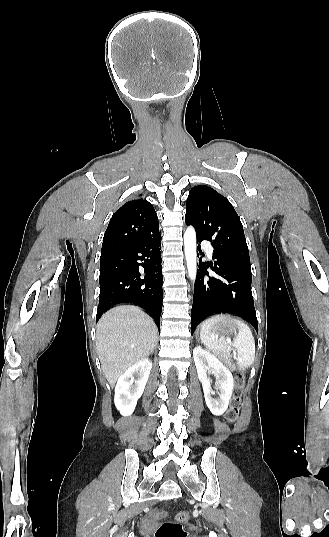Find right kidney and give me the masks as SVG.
Here are the masks:
<instances>
[{
    "mask_svg": "<svg viewBox=\"0 0 329 537\" xmlns=\"http://www.w3.org/2000/svg\"><path fill=\"white\" fill-rule=\"evenodd\" d=\"M152 362L143 359L130 366L117 381L114 402L121 415L129 416L133 413L137 400L143 394L149 378ZM138 376L137 379L134 376Z\"/></svg>",
    "mask_w": 329,
    "mask_h": 537,
    "instance_id": "ca27d5eb",
    "label": "right kidney"
}]
</instances>
